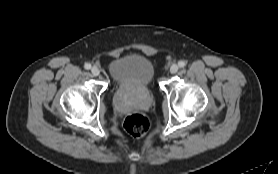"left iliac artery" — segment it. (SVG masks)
I'll return each instance as SVG.
<instances>
[{"mask_svg":"<svg viewBox=\"0 0 278 174\" xmlns=\"http://www.w3.org/2000/svg\"><path fill=\"white\" fill-rule=\"evenodd\" d=\"M178 65H179V67L183 68L185 66V62L184 61H179Z\"/></svg>","mask_w":278,"mask_h":174,"instance_id":"left-iliac-artery-1","label":"left iliac artery"}]
</instances>
